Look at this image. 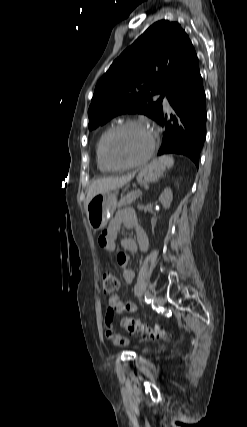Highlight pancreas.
Returning <instances> with one entry per match:
<instances>
[{"mask_svg": "<svg viewBox=\"0 0 247 427\" xmlns=\"http://www.w3.org/2000/svg\"><path fill=\"white\" fill-rule=\"evenodd\" d=\"M141 196L138 191H133L128 193L126 196L122 197L118 203V207L131 204L136 201V199Z\"/></svg>", "mask_w": 247, "mask_h": 427, "instance_id": "pancreas-1", "label": "pancreas"}]
</instances>
